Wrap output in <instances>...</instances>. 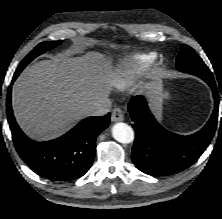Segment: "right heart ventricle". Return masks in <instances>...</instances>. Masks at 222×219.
<instances>
[{"label": "right heart ventricle", "mask_w": 222, "mask_h": 219, "mask_svg": "<svg viewBox=\"0 0 222 219\" xmlns=\"http://www.w3.org/2000/svg\"><path fill=\"white\" fill-rule=\"evenodd\" d=\"M155 58L154 54L149 55L145 61L151 62ZM133 61L135 58L126 59L122 62L120 68H118L112 75V80L114 83H122L133 71Z\"/></svg>", "instance_id": "right-heart-ventricle-1"}]
</instances>
